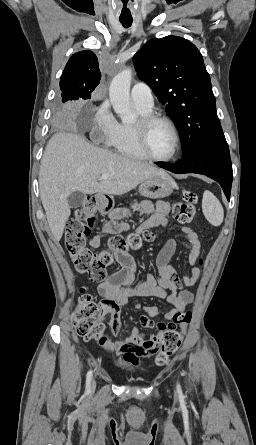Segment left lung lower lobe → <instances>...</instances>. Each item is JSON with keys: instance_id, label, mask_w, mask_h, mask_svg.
<instances>
[{"instance_id": "0a47b994", "label": "left lung lower lobe", "mask_w": 256, "mask_h": 445, "mask_svg": "<svg viewBox=\"0 0 256 445\" xmlns=\"http://www.w3.org/2000/svg\"><path fill=\"white\" fill-rule=\"evenodd\" d=\"M159 167L176 174L197 173L217 181L227 199L232 185V164L227 142H213L198 146L174 165L156 163Z\"/></svg>"}]
</instances>
